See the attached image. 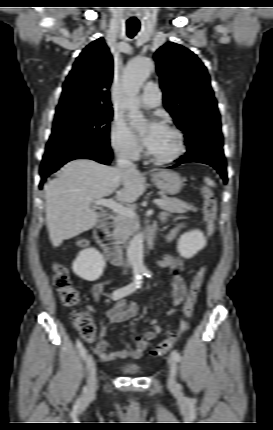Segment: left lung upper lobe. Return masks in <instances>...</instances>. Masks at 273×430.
<instances>
[{
	"label": "left lung upper lobe",
	"mask_w": 273,
	"mask_h": 430,
	"mask_svg": "<svg viewBox=\"0 0 273 430\" xmlns=\"http://www.w3.org/2000/svg\"><path fill=\"white\" fill-rule=\"evenodd\" d=\"M165 108L186 139L206 127L220 130V114L206 67L190 50L168 42L154 54Z\"/></svg>",
	"instance_id": "obj_1"
}]
</instances>
